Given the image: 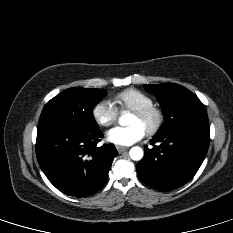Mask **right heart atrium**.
Returning <instances> with one entry per match:
<instances>
[{
    "mask_svg": "<svg viewBox=\"0 0 233 233\" xmlns=\"http://www.w3.org/2000/svg\"><path fill=\"white\" fill-rule=\"evenodd\" d=\"M92 117L98 125L108 127L116 122L118 111L111 101L100 100L92 108Z\"/></svg>",
    "mask_w": 233,
    "mask_h": 233,
    "instance_id": "obj_1",
    "label": "right heart atrium"
}]
</instances>
